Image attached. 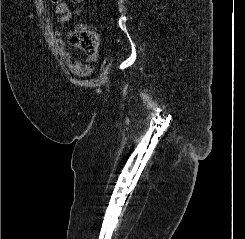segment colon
<instances>
[{
  "instance_id": "5ec220e1",
  "label": "colon",
  "mask_w": 245,
  "mask_h": 239,
  "mask_svg": "<svg viewBox=\"0 0 245 239\" xmlns=\"http://www.w3.org/2000/svg\"><path fill=\"white\" fill-rule=\"evenodd\" d=\"M53 1L58 2L59 0ZM73 1L80 2V0ZM68 39L73 46L81 49L88 55L95 53L99 44V37L95 32L83 29H76L74 31H71L68 35Z\"/></svg>"
}]
</instances>
